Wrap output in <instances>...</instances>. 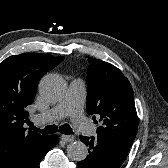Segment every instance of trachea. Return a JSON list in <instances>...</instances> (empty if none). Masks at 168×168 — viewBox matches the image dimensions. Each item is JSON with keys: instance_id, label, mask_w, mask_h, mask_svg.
Wrapping results in <instances>:
<instances>
[{"instance_id": "trachea-1", "label": "trachea", "mask_w": 168, "mask_h": 168, "mask_svg": "<svg viewBox=\"0 0 168 168\" xmlns=\"http://www.w3.org/2000/svg\"><path fill=\"white\" fill-rule=\"evenodd\" d=\"M30 128L35 131H39L43 134H52L58 131V126L56 125H48L42 130H38L33 124H30ZM59 131L63 134H73L74 132L72 131L71 127L68 124L61 125L59 127Z\"/></svg>"}]
</instances>
